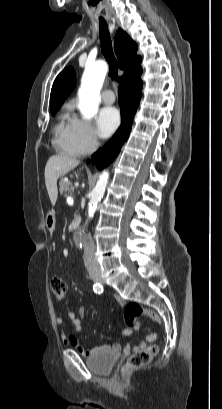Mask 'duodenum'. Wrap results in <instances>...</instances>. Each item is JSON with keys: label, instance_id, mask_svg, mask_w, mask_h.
Returning <instances> with one entry per match:
<instances>
[{"label": "duodenum", "instance_id": "1", "mask_svg": "<svg viewBox=\"0 0 222 409\" xmlns=\"http://www.w3.org/2000/svg\"><path fill=\"white\" fill-rule=\"evenodd\" d=\"M72 224H73V226L75 228L79 227L80 226V219H78V218L73 219Z\"/></svg>", "mask_w": 222, "mask_h": 409}]
</instances>
